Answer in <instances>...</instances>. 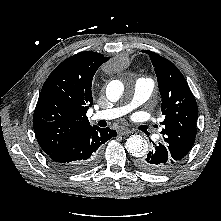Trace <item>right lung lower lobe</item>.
I'll return each mask as SVG.
<instances>
[{"label":"right lung lower lobe","mask_w":221,"mask_h":221,"mask_svg":"<svg viewBox=\"0 0 221 221\" xmlns=\"http://www.w3.org/2000/svg\"><path fill=\"white\" fill-rule=\"evenodd\" d=\"M116 136L117 132L108 127L91 126L48 154V157L63 172L81 173L97 163L102 144Z\"/></svg>","instance_id":"right-lung-lower-lobe-1"}]
</instances>
